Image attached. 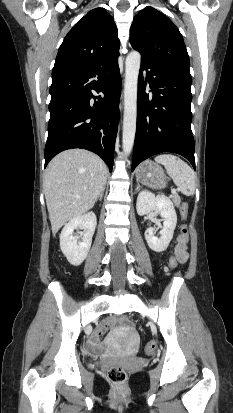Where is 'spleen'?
<instances>
[{"instance_id":"obj_1","label":"spleen","mask_w":233,"mask_h":413,"mask_svg":"<svg viewBox=\"0 0 233 413\" xmlns=\"http://www.w3.org/2000/svg\"><path fill=\"white\" fill-rule=\"evenodd\" d=\"M155 161L166 168L167 174L184 195L191 196L194 194L195 173L188 164L171 154L158 155Z\"/></svg>"}]
</instances>
